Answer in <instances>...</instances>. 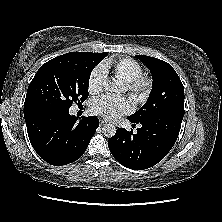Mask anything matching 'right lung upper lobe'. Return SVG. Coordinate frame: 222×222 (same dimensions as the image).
Returning <instances> with one entry per match:
<instances>
[{"instance_id": "obj_1", "label": "right lung upper lobe", "mask_w": 222, "mask_h": 222, "mask_svg": "<svg viewBox=\"0 0 222 222\" xmlns=\"http://www.w3.org/2000/svg\"><path fill=\"white\" fill-rule=\"evenodd\" d=\"M31 114H32V112L24 109V116H25V118H27V117H28L29 115H31Z\"/></svg>"}]
</instances>
